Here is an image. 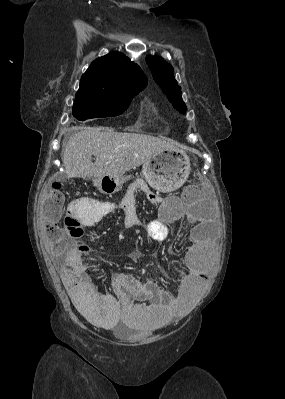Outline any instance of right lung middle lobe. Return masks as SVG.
<instances>
[{
    "instance_id": "obj_1",
    "label": "right lung middle lobe",
    "mask_w": 285,
    "mask_h": 399,
    "mask_svg": "<svg viewBox=\"0 0 285 399\" xmlns=\"http://www.w3.org/2000/svg\"><path fill=\"white\" fill-rule=\"evenodd\" d=\"M136 94L111 97H76L73 116L84 121L91 118L113 117L124 113Z\"/></svg>"
}]
</instances>
